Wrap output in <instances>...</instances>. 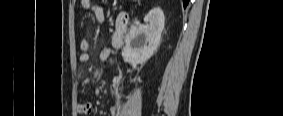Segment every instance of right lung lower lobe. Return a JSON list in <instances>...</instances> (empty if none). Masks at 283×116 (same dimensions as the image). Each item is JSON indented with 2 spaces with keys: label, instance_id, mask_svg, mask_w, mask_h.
<instances>
[{
  "label": "right lung lower lobe",
  "instance_id": "1",
  "mask_svg": "<svg viewBox=\"0 0 283 116\" xmlns=\"http://www.w3.org/2000/svg\"><path fill=\"white\" fill-rule=\"evenodd\" d=\"M188 2H189V0H183L184 7H186V6H187Z\"/></svg>",
  "mask_w": 283,
  "mask_h": 116
}]
</instances>
